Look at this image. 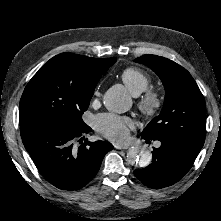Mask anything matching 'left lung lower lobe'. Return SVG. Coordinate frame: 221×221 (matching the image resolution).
<instances>
[{
  "label": "left lung lower lobe",
  "instance_id": "obj_1",
  "mask_svg": "<svg viewBox=\"0 0 221 221\" xmlns=\"http://www.w3.org/2000/svg\"><path fill=\"white\" fill-rule=\"evenodd\" d=\"M198 154V151L181 143L161 141L159 148H153L152 163L143 169L135 170L134 174L150 188L167 187L182 179L192 167Z\"/></svg>",
  "mask_w": 221,
  "mask_h": 221
}]
</instances>
